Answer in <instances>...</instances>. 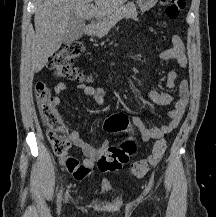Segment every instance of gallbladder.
<instances>
[{"label":"gallbladder","mask_w":216,"mask_h":217,"mask_svg":"<svg viewBox=\"0 0 216 217\" xmlns=\"http://www.w3.org/2000/svg\"><path fill=\"white\" fill-rule=\"evenodd\" d=\"M83 28V22L75 15H72L63 37V43L69 44L73 41L79 40L83 35Z\"/></svg>","instance_id":"bac80fb5"}]
</instances>
